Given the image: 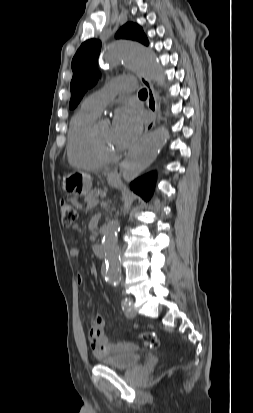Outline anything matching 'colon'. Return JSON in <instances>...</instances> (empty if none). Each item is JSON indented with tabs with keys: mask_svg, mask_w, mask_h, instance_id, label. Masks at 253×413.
<instances>
[{
	"mask_svg": "<svg viewBox=\"0 0 253 413\" xmlns=\"http://www.w3.org/2000/svg\"><path fill=\"white\" fill-rule=\"evenodd\" d=\"M60 214L61 219L64 225L70 226L72 225L77 219V211L75 207L67 200L62 199L60 201ZM136 338L141 341L143 344L148 345L150 347H158L159 340L156 334L152 332H143L136 336Z\"/></svg>",
	"mask_w": 253,
	"mask_h": 413,
	"instance_id": "obj_1",
	"label": "colon"
}]
</instances>
